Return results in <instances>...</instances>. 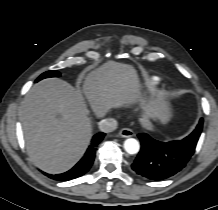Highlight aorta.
<instances>
[{"label":"aorta","mask_w":218,"mask_h":210,"mask_svg":"<svg viewBox=\"0 0 218 210\" xmlns=\"http://www.w3.org/2000/svg\"><path fill=\"white\" fill-rule=\"evenodd\" d=\"M124 149L129 154H136L140 149L139 142L134 138H128L124 142Z\"/></svg>","instance_id":"762f6f07"}]
</instances>
